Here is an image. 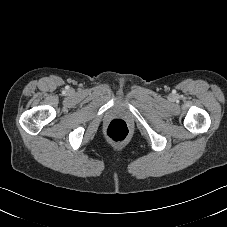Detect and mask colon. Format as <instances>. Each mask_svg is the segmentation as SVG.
I'll return each instance as SVG.
<instances>
[{
    "instance_id": "5ec220e1",
    "label": "colon",
    "mask_w": 227,
    "mask_h": 227,
    "mask_svg": "<svg viewBox=\"0 0 227 227\" xmlns=\"http://www.w3.org/2000/svg\"><path fill=\"white\" fill-rule=\"evenodd\" d=\"M106 134L112 141H125L129 136V127L125 121L114 119L107 125Z\"/></svg>"
}]
</instances>
